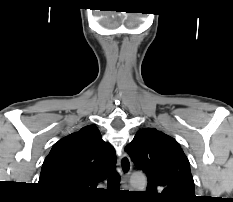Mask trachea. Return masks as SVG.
Instances as JSON below:
<instances>
[{"instance_id":"trachea-1","label":"trachea","mask_w":233,"mask_h":202,"mask_svg":"<svg viewBox=\"0 0 233 202\" xmlns=\"http://www.w3.org/2000/svg\"><path fill=\"white\" fill-rule=\"evenodd\" d=\"M108 187L111 188H119L120 185V176L117 172H113L110 174L108 181H107Z\"/></svg>"}]
</instances>
